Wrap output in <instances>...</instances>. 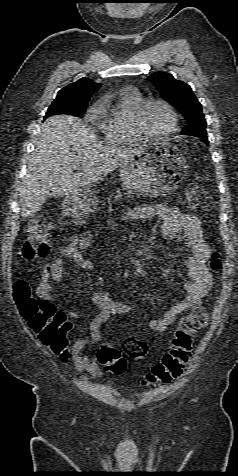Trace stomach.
Instances as JSON below:
<instances>
[{
  "mask_svg": "<svg viewBox=\"0 0 238 476\" xmlns=\"http://www.w3.org/2000/svg\"><path fill=\"white\" fill-rule=\"evenodd\" d=\"M187 159L176 148L166 144H145L142 152H132V159L120 165V179L124 187L135 193L160 196L176 188L187 171ZM97 206L91 186L67 195L64 212L72 217H85Z\"/></svg>",
  "mask_w": 238,
  "mask_h": 476,
  "instance_id": "0dacf381",
  "label": "stomach"
}]
</instances>
